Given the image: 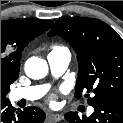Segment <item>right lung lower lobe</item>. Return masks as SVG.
Listing matches in <instances>:
<instances>
[{"label": "right lung lower lobe", "instance_id": "98d812e1", "mask_svg": "<svg viewBox=\"0 0 123 123\" xmlns=\"http://www.w3.org/2000/svg\"><path fill=\"white\" fill-rule=\"evenodd\" d=\"M45 113L37 107H26L24 111L11 105L8 98H1V123H43Z\"/></svg>", "mask_w": 123, "mask_h": 123}]
</instances>
